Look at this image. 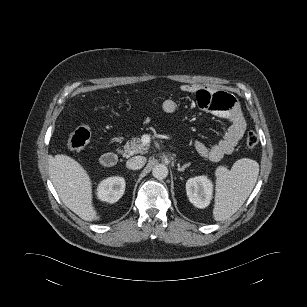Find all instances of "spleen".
I'll use <instances>...</instances> for the list:
<instances>
[{
  "label": "spleen",
  "mask_w": 307,
  "mask_h": 307,
  "mask_svg": "<svg viewBox=\"0 0 307 307\" xmlns=\"http://www.w3.org/2000/svg\"><path fill=\"white\" fill-rule=\"evenodd\" d=\"M258 174L259 164L249 158L237 160L231 170L216 169L214 220L224 221L239 210L251 194Z\"/></svg>",
  "instance_id": "3e777b00"
}]
</instances>
